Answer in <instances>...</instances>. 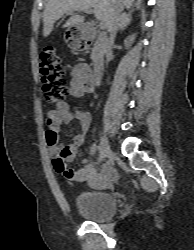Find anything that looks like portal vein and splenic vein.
Instances as JSON below:
<instances>
[{
    "label": "portal vein and splenic vein",
    "instance_id": "portal-vein-and-splenic-vein-1",
    "mask_svg": "<svg viewBox=\"0 0 194 250\" xmlns=\"http://www.w3.org/2000/svg\"><path fill=\"white\" fill-rule=\"evenodd\" d=\"M84 12L87 13V14H92L94 11L92 9H85ZM72 13H73V11H67L66 12V14H68V15L72 14ZM96 19H97V21H99L100 28L103 29L104 28V22L102 21V19L100 17H96Z\"/></svg>",
    "mask_w": 194,
    "mask_h": 250
}]
</instances>
